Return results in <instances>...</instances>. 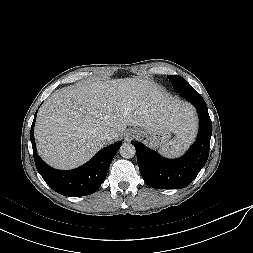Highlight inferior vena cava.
<instances>
[{"mask_svg":"<svg viewBox=\"0 0 253 253\" xmlns=\"http://www.w3.org/2000/svg\"><path fill=\"white\" fill-rule=\"evenodd\" d=\"M99 139H100V141H101L103 144H106V143H108V142L110 141V139H111V133H110L109 131H107V130L101 131V132L99 133Z\"/></svg>","mask_w":253,"mask_h":253,"instance_id":"602c4592","label":"inferior vena cava"}]
</instances>
